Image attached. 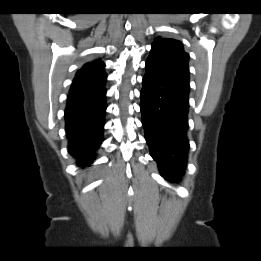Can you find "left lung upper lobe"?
<instances>
[{
	"mask_svg": "<svg viewBox=\"0 0 261 261\" xmlns=\"http://www.w3.org/2000/svg\"><path fill=\"white\" fill-rule=\"evenodd\" d=\"M147 61L162 68L189 75V54L183 50V45L178 40L155 39Z\"/></svg>",
	"mask_w": 261,
	"mask_h": 261,
	"instance_id": "left-lung-upper-lobe-1",
	"label": "left lung upper lobe"
}]
</instances>
